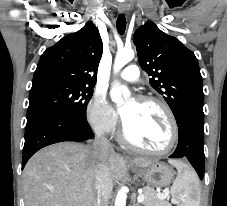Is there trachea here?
Here are the masks:
<instances>
[{
    "mask_svg": "<svg viewBox=\"0 0 227 206\" xmlns=\"http://www.w3.org/2000/svg\"><path fill=\"white\" fill-rule=\"evenodd\" d=\"M117 31L120 35H123L126 29V18L124 14H120L117 18Z\"/></svg>",
    "mask_w": 227,
    "mask_h": 206,
    "instance_id": "obj_1",
    "label": "trachea"
}]
</instances>
